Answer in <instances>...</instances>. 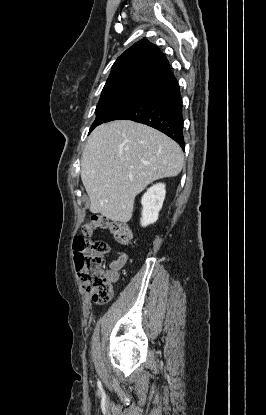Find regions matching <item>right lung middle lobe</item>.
I'll return each instance as SVG.
<instances>
[{
	"label": "right lung middle lobe",
	"instance_id": "obj_1",
	"mask_svg": "<svg viewBox=\"0 0 266 415\" xmlns=\"http://www.w3.org/2000/svg\"><path fill=\"white\" fill-rule=\"evenodd\" d=\"M149 93L136 90H115L103 92L97 104L95 113L96 119L93 122L89 133L98 125L105 123L115 113L140 101Z\"/></svg>",
	"mask_w": 266,
	"mask_h": 415
}]
</instances>
